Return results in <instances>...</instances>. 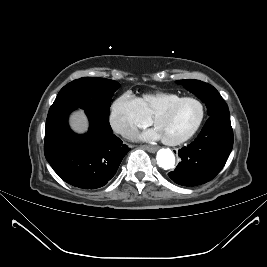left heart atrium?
<instances>
[{
    "label": "left heart atrium",
    "instance_id": "left-heart-atrium-1",
    "mask_svg": "<svg viewBox=\"0 0 267 267\" xmlns=\"http://www.w3.org/2000/svg\"><path fill=\"white\" fill-rule=\"evenodd\" d=\"M139 138L144 140H156L162 138V136L157 129H151L141 134Z\"/></svg>",
    "mask_w": 267,
    "mask_h": 267
}]
</instances>
